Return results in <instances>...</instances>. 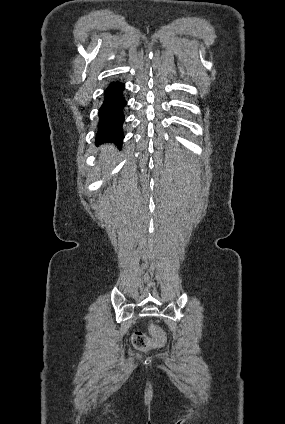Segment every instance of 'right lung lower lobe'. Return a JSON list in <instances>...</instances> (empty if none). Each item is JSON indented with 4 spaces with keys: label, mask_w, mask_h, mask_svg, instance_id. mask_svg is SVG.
<instances>
[{
    "label": "right lung lower lobe",
    "mask_w": 285,
    "mask_h": 424,
    "mask_svg": "<svg viewBox=\"0 0 285 424\" xmlns=\"http://www.w3.org/2000/svg\"><path fill=\"white\" fill-rule=\"evenodd\" d=\"M124 88V83L112 81L104 92V100L99 109L97 143L113 142L119 147L122 144L124 138L123 108L126 106L123 96Z\"/></svg>",
    "instance_id": "obj_1"
}]
</instances>
